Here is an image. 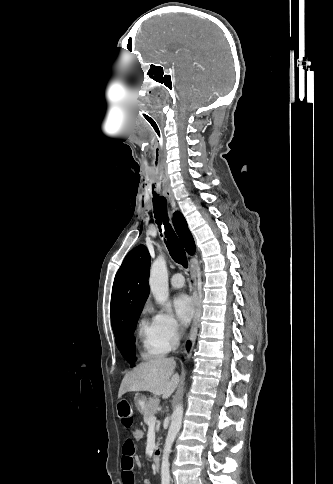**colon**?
Wrapping results in <instances>:
<instances>
[{"mask_svg":"<svg viewBox=\"0 0 333 484\" xmlns=\"http://www.w3.org/2000/svg\"><path fill=\"white\" fill-rule=\"evenodd\" d=\"M144 438V431L141 428H136L133 431V439L141 441Z\"/></svg>","mask_w":333,"mask_h":484,"instance_id":"colon-1","label":"colon"}]
</instances>
